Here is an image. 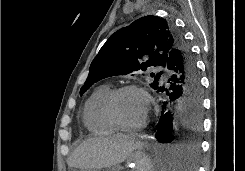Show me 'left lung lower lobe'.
<instances>
[{"mask_svg":"<svg viewBox=\"0 0 245 171\" xmlns=\"http://www.w3.org/2000/svg\"><path fill=\"white\" fill-rule=\"evenodd\" d=\"M170 70L168 86L158 87L165 92L161 118L155 128L160 143L174 145V162L179 167H195L199 141L194 137H178L180 125L197 129L202 113V91L195 60L187 43L170 54L165 66Z\"/></svg>","mask_w":245,"mask_h":171,"instance_id":"1","label":"left lung lower lobe"}]
</instances>
